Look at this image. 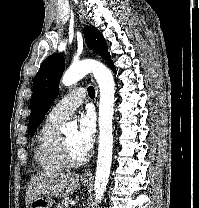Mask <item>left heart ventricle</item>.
<instances>
[{
    "label": "left heart ventricle",
    "instance_id": "b2bd125f",
    "mask_svg": "<svg viewBox=\"0 0 199 208\" xmlns=\"http://www.w3.org/2000/svg\"><path fill=\"white\" fill-rule=\"evenodd\" d=\"M70 150L75 158H82L85 154L77 147V133L71 132L65 136Z\"/></svg>",
    "mask_w": 199,
    "mask_h": 208
}]
</instances>
